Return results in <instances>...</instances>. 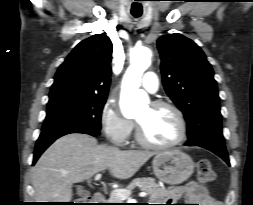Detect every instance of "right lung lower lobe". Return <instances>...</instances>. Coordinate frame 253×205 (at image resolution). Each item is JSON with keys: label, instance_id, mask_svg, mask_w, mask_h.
I'll use <instances>...</instances> for the list:
<instances>
[{"label": "right lung lower lobe", "instance_id": "98d812e1", "mask_svg": "<svg viewBox=\"0 0 253 205\" xmlns=\"http://www.w3.org/2000/svg\"><path fill=\"white\" fill-rule=\"evenodd\" d=\"M70 133H84L92 136H97L100 134L99 132L81 128H63L58 130L43 131L41 132L35 146L33 165L50 144H52L57 138Z\"/></svg>", "mask_w": 253, "mask_h": 205}]
</instances>
